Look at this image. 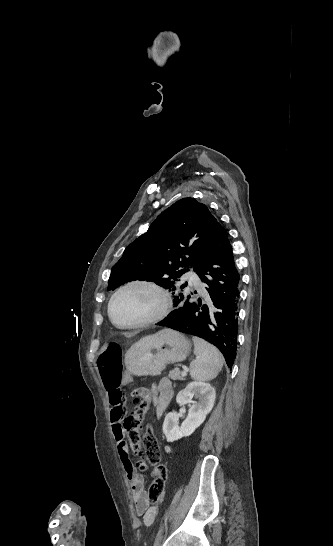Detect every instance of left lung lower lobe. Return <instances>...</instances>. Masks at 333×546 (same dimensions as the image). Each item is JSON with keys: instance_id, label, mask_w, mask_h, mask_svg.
I'll return each instance as SVG.
<instances>
[{"instance_id": "left-lung-lower-lobe-1", "label": "left lung lower lobe", "mask_w": 333, "mask_h": 546, "mask_svg": "<svg viewBox=\"0 0 333 546\" xmlns=\"http://www.w3.org/2000/svg\"><path fill=\"white\" fill-rule=\"evenodd\" d=\"M194 271L205 284L206 302H189L191 296L183 291L174 297L177 309L158 325L211 342L224 355L231 369L237 350L240 275L227 231L220 223L208 251L197 262Z\"/></svg>"}]
</instances>
